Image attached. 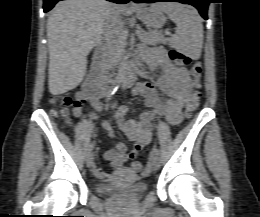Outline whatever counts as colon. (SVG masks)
<instances>
[{
  "label": "colon",
  "mask_w": 260,
  "mask_h": 217,
  "mask_svg": "<svg viewBox=\"0 0 260 217\" xmlns=\"http://www.w3.org/2000/svg\"><path fill=\"white\" fill-rule=\"evenodd\" d=\"M169 56L171 60L177 65H186L193 61V59L190 56L177 50H172L169 53ZM191 75L193 77L192 86L194 90L192 91L191 96L186 104V115L188 117L191 116V114L197 110L199 105V99H200L199 87H200V78L202 75V65L200 62L198 61L193 62L191 68ZM51 101L58 106L57 109L52 112V115L54 117H58L65 121H68L69 120L68 108L72 104H75L77 98L76 100H73L69 96H64L60 98H52ZM132 167L136 172L139 173H141L144 169V166L141 162L133 163Z\"/></svg>",
  "instance_id": "1"
}]
</instances>
